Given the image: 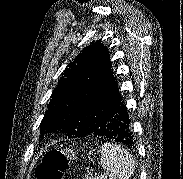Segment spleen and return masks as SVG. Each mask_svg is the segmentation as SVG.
Listing matches in <instances>:
<instances>
[{
	"label": "spleen",
	"instance_id": "3e777b00",
	"mask_svg": "<svg viewBox=\"0 0 183 179\" xmlns=\"http://www.w3.org/2000/svg\"><path fill=\"white\" fill-rule=\"evenodd\" d=\"M101 166L109 172V179H129L135 170L131 154L118 144L106 142L100 149Z\"/></svg>",
	"mask_w": 183,
	"mask_h": 179
}]
</instances>
